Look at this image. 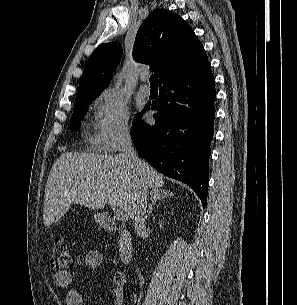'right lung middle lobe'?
<instances>
[{
	"mask_svg": "<svg viewBox=\"0 0 297 305\" xmlns=\"http://www.w3.org/2000/svg\"><path fill=\"white\" fill-rule=\"evenodd\" d=\"M97 96L87 97L81 100H78L74 104L73 115L70 121L71 131H77L80 128L81 119L84 117L85 112L84 109L88 107V105L96 98ZM138 117V116H137ZM136 117V118H137ZM134 119V121L136 120ZM133 121V122H134Z\"/></svg>",
	"mask_w": 297,
	"mask_h": 305,
	"instance_id": "obj_1",
	"label": "right lung middle lobe"
}]
</instances>
